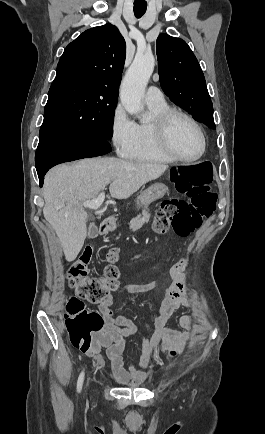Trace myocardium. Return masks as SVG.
Instances as JSON below:
<instances>
[{
  "label": "myocardium",
  "instance_id": "f54148a6",
  "mask_svg": "<svg viewBox=\"0 0 265 434\" xmlns=\"http://www.w3.org/2000/svg\"><path fill=\"white\" fill-rule=\"evenodd\" d=\"M176 118H183L187 120L189 123H191L194 126V128L197 130L201 138L202 149L200 153L194 158L187 159L181 157L173 147V144L171 142V133H172V125ZM157 128L159 134L158 136L159 142L162 149L174 161L179 163H184V164H194L199 162L205 156L208 148L206 135L199 122L188 113L176 108H169L159 117Z\"/></svg>",
  "mask_w": 265,
  "mask_h": 434
}]
</instances>
